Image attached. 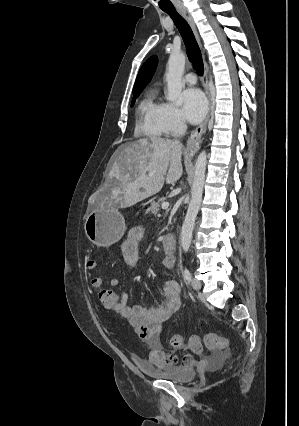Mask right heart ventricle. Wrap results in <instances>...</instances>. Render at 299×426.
Returning a JSON list of instances; mask_svg holds the SVG:
<instances>
[{
    "mask_svg": "<svg viewBox=\"0 0 299 426\" xmlns=\"http://www.w3.org/2000/svg\"><path fill=\"white\" fill-rule=\"evenodd\" d=\"M164 103L154 93L144 97L138 106L136 132L139 135L159 138L166 133L163 121Z\"/></svg>",
    "mask_w": 299,
    "mask_h": 426,
    "instance_id": "obj_1",
    "label": "right heart ventricle"
}]
</instances>
